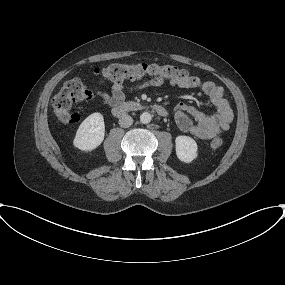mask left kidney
I'll return each mask as SVG.
<instances>
[{
  "mask_svg": "<svg viewBox=\"0 0 285 285\" xmlns=\"http://www.w3.org/2000/svg\"><path fill=\"white\" fill-rule=\"evenodd\" d=\"M176 155L178 159L185 163H190L198 156V146L194 139L189 136H178L175 140Z\"/></svg>",
  "mask_w": 285,
  "mask_h": 285,
  "instance_id": "obj_1",
  "label": "left kidney"
}]
</instances>
